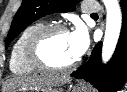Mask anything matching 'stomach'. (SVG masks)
Wrapping results in <instances>:
<instances>
[{
  "label": "stomach",
  "instance_id": "stomach-1",
  "mask_svg": "<svg viewBox=\"0 0 127 92\" xmlns=\"http://www.w3.org/2000/svg\"><path fill=\"white\" fill-rule=\"evenodd\" d=\"M53 92H63V90L57 89L56 91ZM67 92H91V91L85 83L80 82L77 85L71 87L70 90Z\"/></svg>",
  "mask_w": 127,
  "mask_h": 92
}]
</instances>
